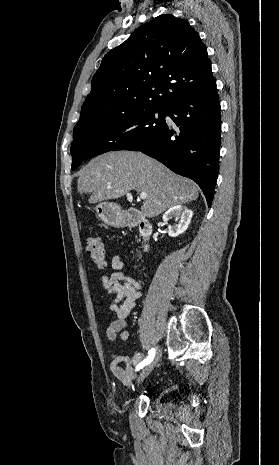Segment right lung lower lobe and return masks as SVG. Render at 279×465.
<instances>
[{
    "instance_id": "1",
    "label": "right lung lower lobe",
    "mask_w": 279,
    "mask_h": 465,
    "mask_svg": "<svg viewBox=\"0 0 279 465\" xmlns=\"http://www.w3.org/2000/svg\"><path fill=\"white\" fill-rule=\"evenodd\" d=\"M166 114L178 127L166 124L151 143L122 150L141 151L175 173L194 180L211 206L219 171L220 103L212 78L202 88L171 103Z\"/></svg>"
}]
</instances>
